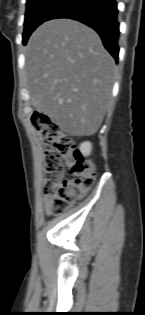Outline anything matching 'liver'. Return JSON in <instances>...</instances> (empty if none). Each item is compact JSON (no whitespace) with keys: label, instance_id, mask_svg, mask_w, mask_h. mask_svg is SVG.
I'll list each match as a JSON object with an SVG mask.
<instances>
[{"label":"liver","instance_id":"1","mask_svg":"<svg viewBox=\"0 0 145 315\" xmlns=\"http://www.w3.org/2000/svg\"><path fill=\"white\" fill-rule=\"evenodd\" d=\"M31 103L63 132L90 136L110 104L115 61L99 35L71 19L40 25L26 49Z\"/></svg>","mask_w":145,"mask_h":315}]
</instances>
